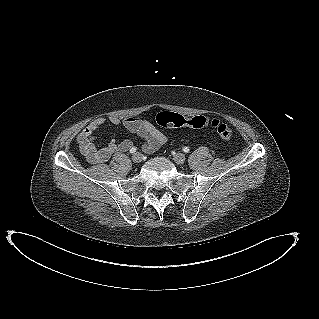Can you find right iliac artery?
Listing matches in <instances>:
<instances>
[{"instance_id":"1","label":"right iliac artery","mask_w":319,"mask_h":319,"mask_svg":"<svg viewBox=\"0 0 319 319\" xmlns=\"http://www.w3.org/2000/svg\"><path fill=\"white\" fill-rule=\"evenodd\" d=\"M136 150H137V149H136L135 147H133V148L130 149V153H135Z\"/></svg>"}]
</instances>
